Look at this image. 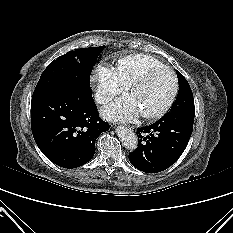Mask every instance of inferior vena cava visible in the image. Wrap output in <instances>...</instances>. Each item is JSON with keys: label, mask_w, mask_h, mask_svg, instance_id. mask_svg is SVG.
<instances>
[{"label": "inferior vena cava", "mask_w": 233, "mask_h": 233, "mask_svg": "<svg viewBox=\"0 0 233 233\" xmlns=\"http://www.w3.org/2000/svg\"><path fill=\"white\" fill-rule=\"evenodd\" d=\"M111 97L112 96L110 93L104 92V91H97L95 94V100L99 104H104V103L109 102Z\"/></svg>", "instance_id": "1"}]
</instances>
